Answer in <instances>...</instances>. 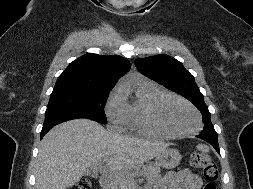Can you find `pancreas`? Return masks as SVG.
<instances>
[{
    "instance_id": "obj_1",
    "label": "pancreas",
    "mask_w": 253,
    "mask_h": 189,
    "mask_svg": "<svg viewBox=\"0 0 253 189\" xmlns=\"http://www.w3.org/2000/svg\"><path fill=\"white\" fill-rule=\"evenodd\" d=\"M160 168L157 166L147 167L145 175L150 183H156L160 180ZM133 180L127 173L120 172L117 173L111 184L108 186V189H131Z\"/></svg>"
}]
</instances>
